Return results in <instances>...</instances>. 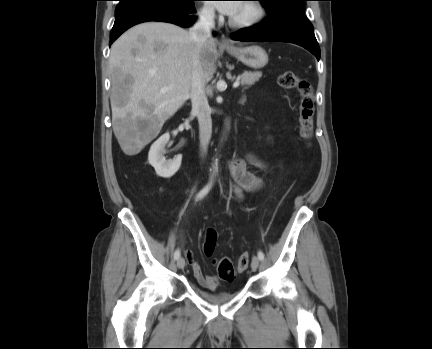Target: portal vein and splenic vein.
Returning a JSON list of instances; mask_svg holds the SVG:
<instances>
[{"label":"portal vein and splenic vein","mask_w":432,"mask_h":349,"mask_svg":"<svg viewBox=\"0 0 432 349\" xmlns=\"http://www.w3.org/2000/svg\"><path fill=\"white\" fill-rule=\"evenodd\" d=\"M240 85V81L237 80L233 83V88H237ZM164 91V90H163Z\"/></svg>","instance_id":"18ae733b"}]
</instances>
